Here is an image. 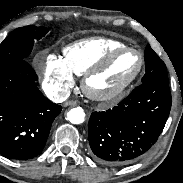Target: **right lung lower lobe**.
I'll use <instances>...</instances> for the list:
<instances>
[{
  "label": "right lung lower lobe",
  "instance_id": "1",
  "mask_svg": "<svg viewBox=\"0 0 183 183\" xmlns=\"http://www.w3.org/2000/svg\"><path fill=\"white\" fill-rule=\"evenodd\" d=\"M26 60L0 64V154L10 159L39 155L62 107L37 88Z\"/></svg>",
  "mask_w": 183,
  "mask_h": 183
}]
</instances>
